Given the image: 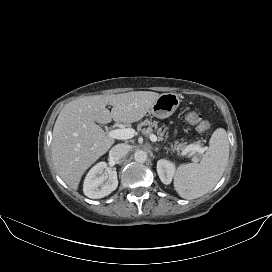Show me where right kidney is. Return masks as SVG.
<instances>
[{
	"instance_id": "1",
	"label": "right kidney",
	"mask_w": 272,
	"mask_h": 272,
	"mask_svg": "<svg viewBox=\"0 0 272 272\" xmlns=\"http://www.w3.org/2000/svg\"><path fill=\"white\" fill-rule=\"evenodd\" d=\"M107 163L100 162L90 169L85 177L83 192L88 198L99 199L111 194L118 186L117 172L115 170L104 174Z\"/></svg>"
}]
</instances>
